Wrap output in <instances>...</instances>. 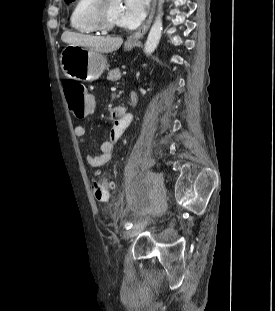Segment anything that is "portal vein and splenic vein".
<instances>
[{"mask_svg": "<svg viewBox=\"0 0 275 311\" xmlns=\"http://www.w3.org/2000/svg\"><path fill=\"white\" fill-rule=\"evenodd\" d=\"M126 74H127V72H126V71H124V72H123V75H126Z\"/></svg>", "mask_w": 275, "mask_h": 311, "instance_id": "portal-vein-and-splenic-vein-1", "label": "portal vein and splenic vein"}]
</instances>
